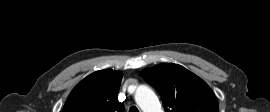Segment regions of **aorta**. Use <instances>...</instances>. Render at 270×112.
<instances>
[{
    "label": "aorta",
    "mask_w": 270,
    "mask_h": 112,
    "mask_svg": "<svg viewBox=\"0 0 270 112\" xmlns=\"http://www.w3.org/2000/svg\"><path fill=\"white\" fill-rule=\"evenodd\" d=\"M134 98L143 112H164L154 91L145 85L138 86Z\"/></svg>",
    "instance_id": "1"
}]
</instances>
